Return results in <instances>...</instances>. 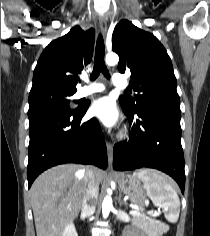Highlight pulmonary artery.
I'll return each instance as SVG.
<instances>
[{"label":"pulmonary artery","mask_w":210,"mask_h":236,"mask_svg":"<svg viewBox=\"0 0 210 236\" xmlns=\"http://www.w3.org/2000/svg\"><path fill=\"white\" fill-rule=\"evenodd\" d=\"M112 82L115 86L121 87L126 84V79L122 75L115 74L112 78ZM103 91H105V86L103 84L93 83L86 87L81 88L78 91V96L84 97V96H88V95L103 92Z\"/></svg>","instance_id":"obj_1"}]
</instances>
